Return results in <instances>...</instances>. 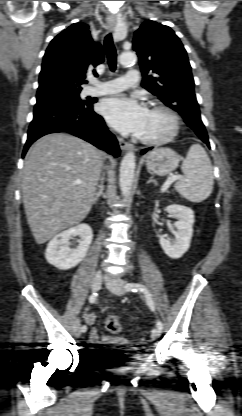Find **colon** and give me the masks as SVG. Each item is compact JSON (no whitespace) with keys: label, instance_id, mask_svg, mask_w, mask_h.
Listing matches in <instances>:
<instances>
[{"label":"colon","instance_id":"1","mask_svg":"<svg viewBox=\"0 0 242 416\" xmlns=\"http://www.w3.org/2000/svg\"><path fill=\"white\" fill-rule=\"evenodd\" d=\"M105 327L112 334H118L123 330V325L116 316H109L105 321Z\"/></svg>","mask_w":242,"mask_h":416}]
</instances>
